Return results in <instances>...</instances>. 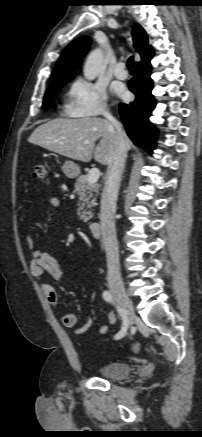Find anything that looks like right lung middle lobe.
Segmentation results:
<instances>
[{
	"label": "right lung middle lobe",
	"mask_w": 202,
	"mask_h": 437,
	"mask_svg": "<svg viewBox=\"0 0 202 437\" xmlns=\"http://www.w3.org/2000/svg\"><path fill=\"white\" fill-rule=\"evenodd\" d=\"M70 80H72V78L58 81V82L49 86V88L47 89V91L45 93V97H44V101H43V105H42L43 110H46L50 106V104H51L53 98L56 96V94Z\"/></svg>",
	"instance_id": "1"
}]
</instances>
